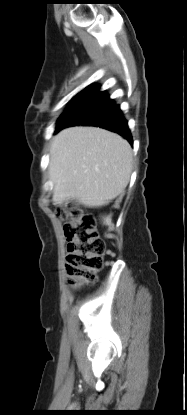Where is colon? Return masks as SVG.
<instances>
[{
	"mask_svg": "<svg viewBox=\"0 0 187 415\" xmlns=\"http://www.w3.org/2000/svg\"><path fill=\"white\" fill-rule=\"evenodd\" d=\"M67 239L66 272L73 286L90 283L104 265L105 245L93 215L70 206L60 213Z\"/></svg>",
	"mask_w": 187,
	"mask_h": 415,
	"instance_id": "obj_1",
	"label": "colon"
}]
</instances>
